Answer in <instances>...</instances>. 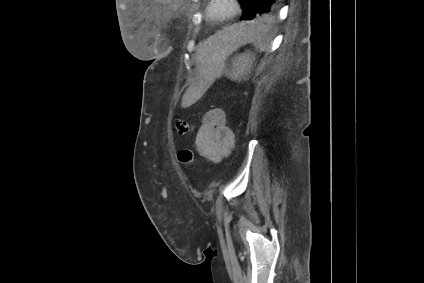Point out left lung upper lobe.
Here are the masks:
<instances>
[{
    "label": "left lung upper lobe",
    "mask_w": 424,
    "mask_h": 283,
    "mask_svg": "<svg viewBox=\"0 0 424 283\" xmlns=\"http://www.w3.org/2000/svg\"><path fill=\"white\" fill-rule=\"evenodd\" d=\"M239 1L243 8V15L241 17L242 20H252L254 18L256 19L272 18V16L275 14V11H274L268 14L256 15L260 1L262 0H239Z\"/></svg>",
    "instance_id": "left-lung-upper-lobe-1"
}]
</instances>
